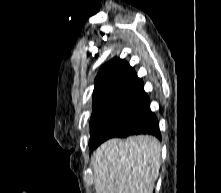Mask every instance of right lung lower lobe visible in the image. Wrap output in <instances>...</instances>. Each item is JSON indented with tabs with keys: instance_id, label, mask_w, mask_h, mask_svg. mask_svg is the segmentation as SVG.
Instances as JSON below:
<instances>
[{
	"instance_id": "obj_1",
	"label": "right lung lower lobe",
	"mask_w": 221,
	"mask_h": 193,
	"mask_svg": "<svg viewBox=\"0 0 221 193\" xmlns=\"http://www.w3.org/2000/svg\"><path fill=\"white\" fill-rule=\"evenodd\" d=\"M149 134L161 139V133L159 130L158 120L154 113H151L149 117L141 124L137 125L133 129L127 131L119 137H127L129 135Z\"/></svg>"
}]
</instances>
